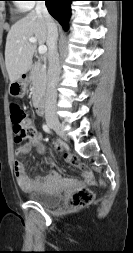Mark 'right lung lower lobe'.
<instances>
[{
	"mask_svg": "<svg viewBox=\"0 0 133 253\" xmlns=\"http://www.w3.org/2000/svg\"><path fill=\"white\" fill-rule=\"evenodd\" d=\"M71 1L73 0H45L49 13L62 25L64 30L68 29Z\"/></svg>",
	"mask_w": 133,
	"mask_h": 253,
	"instance_id": "right-lung-lower-lobe-1",
	"label": "right lung lower lobe"
}]
</instances>
